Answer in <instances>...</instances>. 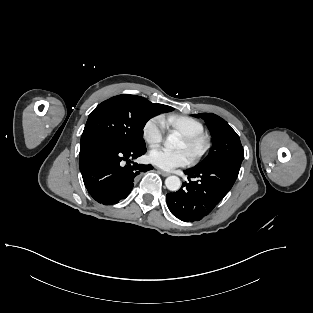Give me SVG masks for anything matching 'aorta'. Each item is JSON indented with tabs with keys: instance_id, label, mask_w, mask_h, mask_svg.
<instances>
[{
	"instance_id": "1",
	"label": "aorta",
	"mask_w": 313,
	"mask_h": 313,
	"mask_svg": "<svg viewBox=\"0 0 313 313\" xmlns=\"http://www.w3.org/2000/svg\"><path fill=\"white\" fill-rule=\"evenodd\" d=\"M180 143V139L177 134L172 133L169 134L164 142V146L168 149L176 148ZM165 185L168 190L170 191H177L181 187V181L177 176H169L165 180Z\"/></svg>"
}]
</instances>
